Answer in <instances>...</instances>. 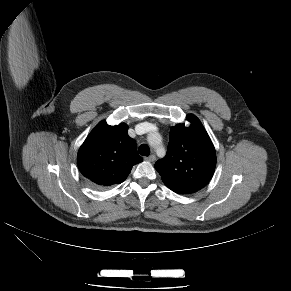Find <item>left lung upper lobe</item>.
<instances>
[{"instance_id":"1","label":"left lung upper lobe","mask_w":291,"mask_h":291,"mask_svg":"<svg viewBox=\"0 0 291 291\" xmlns=\"http://www.w3.org/2000/svg\"><path fill=\"white\" fill-rule=\"evenodd\" d=\"M190 126L171 128L167 154L155 163L163 182L177 184L196 192L213 176L216 153L210 137L199 119L189 115Z\"/></svg>"}]
</instances>
